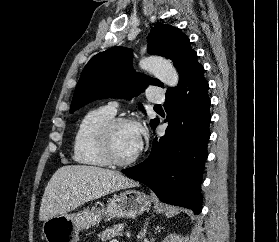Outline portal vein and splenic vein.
Wrapping results in <instances>:
<instances>
[{
    "label": "portal vein and splenic vein",
    "instance_id": "18ae733b",
    "mask_svg": "<svg viewBox=\"0 0 279 242\" xmlns=\"http://www.w3.org/2000/svg\"><path fill=\"white\" fill-rule=\"evenodd\" d=\"M112 242H117V240H113Z\"/></svg>",
    "mask_w": 279,
    "mask_h": 242
}]
</instances>
